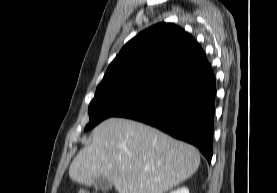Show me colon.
<instances>
[{
  "label": "colon",
  "mask_w": 277,
  "mask_h": 193,
  "mask_svg": "<svg viewBox=\"0 0 277 193\" xmlns=\"http://www.w3.org/2000/svg\"><path fill=\"white\" fill-rule=\"evenodd\" d=\"M77 193H91V192H89L87 190H79Z\"/></svg>",
  "instance_id": "obj_1"
}]
</instances>
